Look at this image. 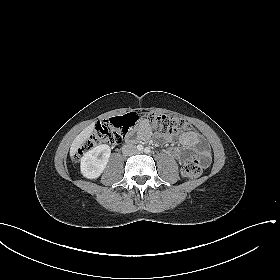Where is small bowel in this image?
<instances>
[{
  "label": "small bowel",
  "mask_w": 280,
  "mask_h": 280,
  "mask_svg": "<svg viewBox=\"0 0 280 280\" xmlns=\"http://www.w3.org/2000/svg\"><path fill=\"white\" fill-rule=\"evenodd\" d=\"M150 129L145 122H141L137 132V139H147L150 136ZM180 144L187 149H195L201 156H207L208 162L210 158L209 154V146L206 141L193 130L187 131L180 136ZM174 155H180L181 150L179 148H175L173 151Z\"/></svg>",
  "instance_id": "1"
}]
</instances>
